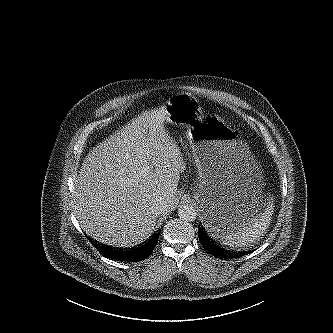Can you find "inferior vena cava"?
<instances>
[{"instance_id":"obj_1","label":"inferior vena cava","mask_w":333,"mask_h":333,"mask_svg":"<svg viewBox=\"0 0 333 333\" xmlns=\"http://www.w3.org/2000/svg\"><path fill=\"white\" fill-rule=\"evenodd\" d=\"M167 210H168V204H167V201L164 200L163 198H159V199L157 200V204H156V212H157L158 214H161V213H163V212H165V211H167Z\"/></svg>"}]
</instances>
